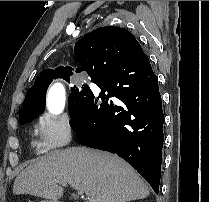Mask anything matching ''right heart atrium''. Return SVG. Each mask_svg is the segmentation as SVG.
I'll use <instances>...</instances> for the list:
<instances>
[{"instance_id": "right-heart-atrium-1", "label": "right heart atrium", "mask_w": 209, "mask_h": 202, "mask_svg": "<svg viewBox=\"0 0 209 202\" xmlns=\"http://www.w3.org/2000/svg\"><path fill=\"white\" fill-rule=\"evenodd\" d=\"M34 133L36 149L46 152L66 146L72 140L73 129L67 116L45 113L38 117Z\"/></svg>"}]
</instances>
